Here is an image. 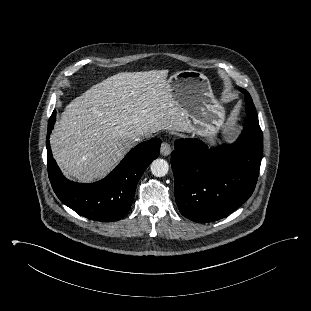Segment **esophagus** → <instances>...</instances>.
I'll return each instance as SVG.
<instances>
[{
	"instance_id": "34e87169",
	"label": "esophagus",
	"mask_w": 311,
	"mask_h": 311,
	"mask_svg": "<svg viewBox=\"0 0 311 311\" xmlns=\"http://www.w3.org/2000/svg\"><path fill=\"white\" fill-rule=\"evenodd\" d=\"M160 152L163 156H168L171 153V147L167 142L161 144Z\"/></svg>"
}]
</instances>
